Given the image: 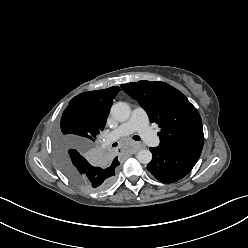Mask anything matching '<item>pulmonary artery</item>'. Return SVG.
<instances>
[{"label": "pulmonary artery", "instance_id": "1", "mask_svg": "<svg viewBox=\"0 0 248 248\" xmlns=\"http://www.w3.org/2000/svg\"><path fill=\"white\" fill-rule=\"evenodd\" d=\"M133 132H138L148 143H157L158 140L149 125L147 113L140 107L133 109L131 117L126 122L120 124L113 131L105 136V142L110 143L122 137H126Z\"/></svg>", "mask_w": 248, "mask_h": 248}]
</instances>
